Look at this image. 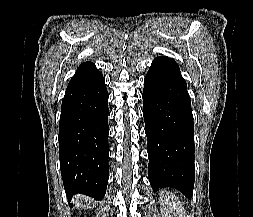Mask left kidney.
I'll return each mask as SVG.
<instances>
[{
	"label": "left kidney",
	"mask_w": 253,
	"mask_h": 217,
	"mask_svg": "<svg viewBox=\"0 0 253 217\" xmlns=\"http://www.w3.org/2000/svg\"><path fill=\"white\" fill-rule=\"evenodd\" d=\"M160 202L163 207L169 208V211L175 215L174 217H186L184 216L185 210L181 206L180 201L172 193L162 192L160 194Z\"/></svg>",
	"instance_id": "left-kidney-1"
}]
</instances>
